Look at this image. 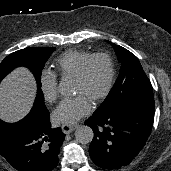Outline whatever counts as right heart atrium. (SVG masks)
<instances>
[{
	"instance_id": "obj_1",
	"label": "right heart atrium",
	"mask_w": 171,
	"mask_h": 171,
	"mask_svg": "<svg viewBox=\"0 0 171 171\" xmlns=\"http://www.w3.org/2000/svg\"><path fill=\"white\" fill-rule=\"evenodd\" d=\"M39 87L44 100L53 103L58 97V81L54 73L43 71L39 78Z\"/></svg>"
}]
</instances>
